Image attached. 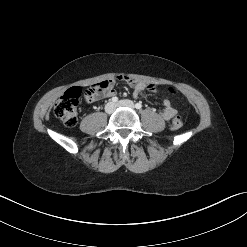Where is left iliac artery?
<instances>
[{
    "label": "left iliac artery",
    "instance_id": "44dca946",
    "mask_svg": "<svg viewBox=\"0 0 247 247\" xmlns=\"http://www.w3.org/2000/svg\"><path fill=\"white\" fill-rule=\"evenodd\" d=\"M135 108L136 109H141L142 108V104L141 103H136L135 104Z\"/></svg>",
    "mask_w": 247,
    "mask_h": 247
}]
</instances>
